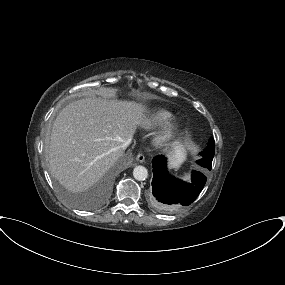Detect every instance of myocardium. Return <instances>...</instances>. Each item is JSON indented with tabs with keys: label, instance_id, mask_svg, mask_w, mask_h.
Returning a JSON list of instances; mask_svg holds the SVG:
<instances>
[{
	"label": "myocardium",
	"instance_id": "1",
	"mask_svg": "<svg viewBox=\"0 0 285 285\" xmlns=\"http://www.w3.org/2000/svg\"><path fill=\"white\" fill-rule=\"evenodd\" d=\"M174 135V126L169 125L165 127L155 136V143L159 146H166Z\"/></svg>",
	"mask_w": 285,
	"mask_h": 285
}]
</instances>
